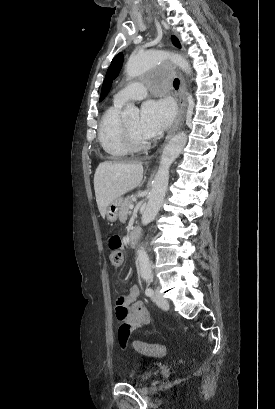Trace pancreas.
<instances>
[{"label": "pancreas", "instance_id": "pancreas-1", "mask_svg": "<svg viewBox=\"0 0 275 409\" xmlns=\"http://www.w3.org/2000/svg\"><path fill=\"white\" fill-rule=\"evenodd\" d=\"M132 202V196H126V198H124L123 205H121V209L119 211V221H121V223L126 221L129 213V205H132Z\"/></svg>", "mask_w": 275, "mask_h": 409}]
</instances>
